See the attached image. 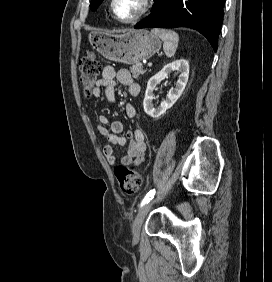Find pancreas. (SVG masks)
<instances>
[{"mask_svg": "<svg viewBox=\"0 0 272 282\" xmlns=\"http://www.w3.org/2000/svg\"><path fill=\"white\" fill-rule=\"evenodd\" d=\"M130 72L132 73L134 78H138L139 75L144 74L146 72V70L143 69L142 64L138 63V64L130 67Z\"/></svg>", "mask_w": 272, "mask_h": 282, "instance_id": "obj_1", "label": "pancreas"}]
</instances>
